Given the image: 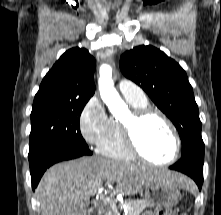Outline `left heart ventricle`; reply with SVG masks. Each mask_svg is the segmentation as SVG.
Returning a JSON list of instances; mask_svg holds the SVG:
<instances>
[{
  "label": "left heart ventricle",
  "instance_id": "1",
  "mask_svg": "<svg viewBox=\"0 0 221 215\" xmlns=\"http://www.w3.org/2000/svg\"><path fill=\"white\" fill-rule=\"evenodd\" d=\"M136 140L142 152L156 162H164L174 152V140L168 127L156 117L150 116L137 128Z\"/></svg>",
  "mask_w": 221,
  "mask_h": 215
}]
</instances>
